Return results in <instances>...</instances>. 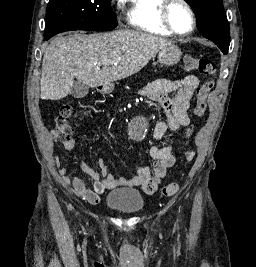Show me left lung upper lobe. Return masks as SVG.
I'll use <instances>...</instances> for the list:
<instances>
[{
    "label": "left lung upper lobe",
    "instance_id": "obj_1",
    "mask_svg": "<svg viewBox=\"0 0 256 267\" xmlns=\"http://www.w3.org/2000/svg\"><path fill=\"white\" fill-rule=\"evenodd\" d=\"M195 11L197 27L224 54L230 44L229 25L221 0H185Z\"/></svg>",
    "mask_w": 256,
    "mask_h": 267
}]
</instances>
